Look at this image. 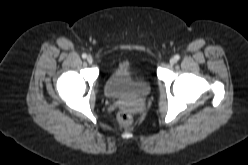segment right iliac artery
I'll list each match as a JSON object with an SVG mask.
<instances>
[{
    "label": "right iliac artery",
    "mask_w": 248,
    "mask_h": 165,
    "mask_svg": "<svg viewBox=\"0 0 248 165\" xmlns=\"http://www.w3.org/2000/svg\"><path fill=\"white\" fill-rule=\"evenodd\" d=\"M87 55L85 53L82 54V58L85 59Z\"/></svg>",
    "instance_id": "obj_1"
}]
</instances>
